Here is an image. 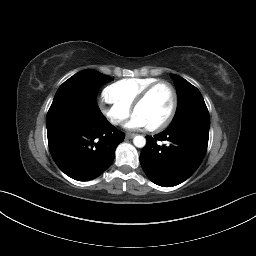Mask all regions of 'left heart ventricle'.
Segmentation results:
<instances>
[{"mask_svg":"<svg viewBox=\"0 0 256 256\" xmlns=\"http://www.w3.org/2000/svg\"><path fill=\"white\" fill-rule=\"evenodd\" d=\"M172 99V92L166 85L158 86L134 113L139 115L148 127L153 126L167 116Z\"/></svg>","mask_w":256,"mask_h":256,"instance_id":"1","label":"left heart ventricle"}]
</instances>
